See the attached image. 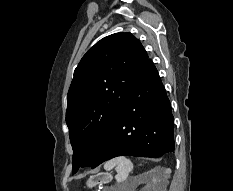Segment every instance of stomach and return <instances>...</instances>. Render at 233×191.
<instances>
[{"mask_svg": "<svg viewBox=\"0 0 233 191\" xmlns=\"http://www.w3.org/2000/svg\"><path fill=\"white\" fill-rule=\"evenodd\" d=\"M112 180V175L111 173H101V174H97L94 176H91L87 182L86 185L89 188H92L98 184H103V183H108Z\"/></svg>", "mask_w": 233, "mask_h": 191, "instance_id": "0dacf381", "label": "stomach"}]
</instances>
